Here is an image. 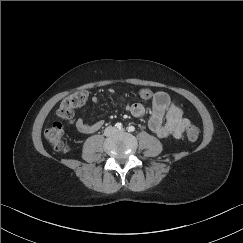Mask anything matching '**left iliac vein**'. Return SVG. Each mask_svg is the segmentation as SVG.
Here are the masks:
<instances>
[{
  "label": "left iliac vein",
  "instance_id": "1",
  "mask_svg": "<svg viewBox=\"0 0 243 243\" xmlns=\"http://www.w3.org/2000/svg\"><path fill=\"white\" fill-rule=\"evenodd\" d=\"M117 132H122V131H124V130H116Z\"/></svg>",
  "mask_w": 243,
  "mask_h": 243
}]
</instances>
